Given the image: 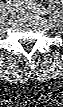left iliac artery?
Segmentation results:
<instances>
[{
	"label": "left iliac artery",
	"mask_w": 63,
	"mask_h": 107,
	"mask_svg": "<svg viewBox=\"0 0 63 107\" xmlns=\"http://www.w3.org/2000/svg\"><path fill=\"white\" fill-rule=\"evenodd\" d=\"M14 2L18 6L23 5L24 7L33 10V12L41 14V15H45L47 13V10L41 4H38L34 1H31V0L19 1V0H16Z\"/></svg>",
	"instance_id": "44dca946"
}]
</instances>
